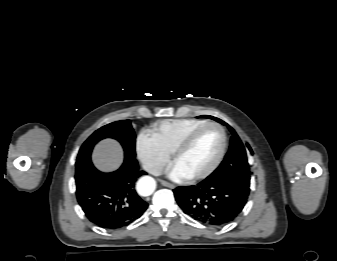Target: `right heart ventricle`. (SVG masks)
Returning a JSON list of instances; mask_svg holds the SVG:
<instances>
[{
	"label": "right heart ventricle",
	"mask_w": 337,
	"mask_h": 261,
	"mask_svg": "<svg viewBox=\"0 0 337 261\" xmlns=\"http://www.w3.org/2000/svg\"><path fill=\"white\" fill-rule=\"evenodd\" d=\"M205 122L196 118L163 120L155 123L149 133L164 151L172 154L191 130Z\"/></svg>",
	"instance_id": "1"
}]
</instances>
